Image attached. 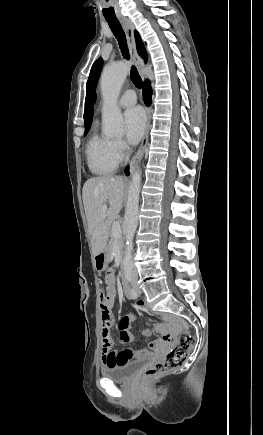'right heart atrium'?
<instances>
[{
	"instance_id": "1",
	"label": "right heart atrium",
	"mask_w": 263,
	"mask_h": 435,
	"mask_svg": "<svg viewBox=\"0 0 263 435\" xmlns=\"http://www.w3.org/2000/svg\"><path fill=\"white\" fill-rule=\"evenodd\" d=\"M113 151L118 162L122 161L128 152L126 144L121 140H115L113 142Z\"/></svg>"
}]
</instances>
